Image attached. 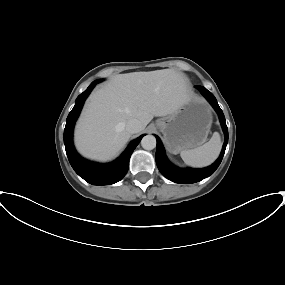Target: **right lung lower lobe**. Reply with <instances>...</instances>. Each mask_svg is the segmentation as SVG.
I'll use <instances>...</instances> for the list:
<instances>
[{"label": "right lung lower lobe", "instance_id": "98d812e1", "mask_svg": "<svg viewBox=\"0 0 285 285\" xmlns=\"http://www.w3.org/2000/svg\"><path fill=\"white\" fill-rule=\"evenodd\" d=\"M100 81H94L82 94L78 96L75 106L69 113L64 130V144L69 162L75 172L85 181L93 185H110L120 181L127 173L129 159L144 135L133 140L124 153L112 163L99 164L82 158L73 146V128L77 117L80 114L85 99L91 90Z\"/></svg>", "mask_w": 285, "mask_h": 285}]
</instances>
